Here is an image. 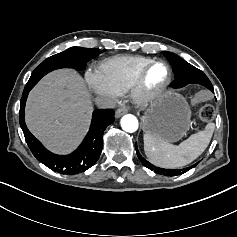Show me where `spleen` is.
I'll return each instance as SVG.
<instances>
[{"mask_svg":"<svg viewBox=\"0 0 237 237\" xmlns=\"http://www.w3.org/2000/svg\"><path fill=\"white\" fill-rule=\"evenodd\" d=\"M215 129L208 123L205 130L192 134L179 145H173L151 134H144V151L149 161L162 168L175 169L190 164L207 148Z\"/></svg>","mask_w":237,"mask_h":237,"instance_id":"spleen-1","label":"spleen"}]
</instances>
